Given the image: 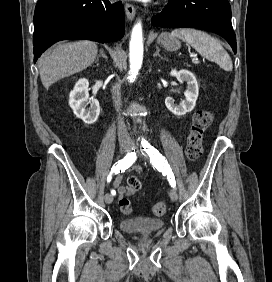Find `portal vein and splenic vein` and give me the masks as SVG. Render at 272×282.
I'll return each instance as SVG.
<instances>
[{
	"instance_id": "1",
	"label": "portal vein and splenic vein",
	"mask_w": 272,
	"mask_h": 282,
	"mask_svg": "<svg viewBox=\"0 0 272 282\" xmlns=\"http://www.w3.org/2000/svg\"><path fill=\"white\" fill-rule=\"evenodd\" d=\"M192 62H193V63H197V62H198V58H197L196 55H194V57H193V59H192Z\"/></svg>"
}]
</instances>
